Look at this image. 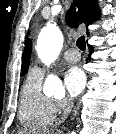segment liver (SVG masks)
Instances as JSON below:
<instances>
[{"instance_id": "liver-1", "label": "liver", "mask_w": 116, "mask_h": 134, "mask_svg": "<svg viewBox=\"0 0 116 134\" xmlns=\"http://www.w3.org/2000/svg\"><path fill=\"white\" fill-rule=\"evenodd\" d=\"M19 134H26L24 132H20ZM44 134H53L51 131H47V133H44Z\"/></svg>"}]
</instances>
